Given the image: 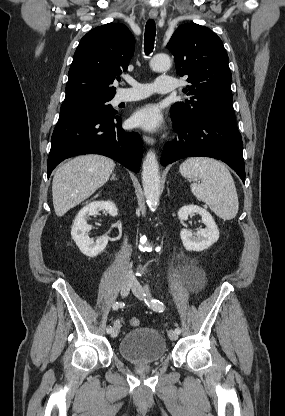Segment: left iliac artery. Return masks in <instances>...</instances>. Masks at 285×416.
Returning <instances> with one entry per match:
<instances>
[{
	"instance_id": "obj_1",
	"label": "left iliac artery",
	"mask_w": 285,
	"mask_h": 416,
	"mask_svg": "<svg viewBox=\"0 0 285 416\" xmlns=\"http://www.w3.org/2000/svg\"><path fill=\"white\" fill-rule=\"evenodd\" d=\"M146 293H147L148 296L150 295L149 294V286L148 285H146ZM145 303L148 305V307H151L154 311L163 312L164 309H165L164 304L161 301H159L158 299H153V298H151L149 300H146L145 299ZM175 332L177 334H180L181 333L180 328L177 327L175 329Z\"/></svg>"
}]
</instances>
